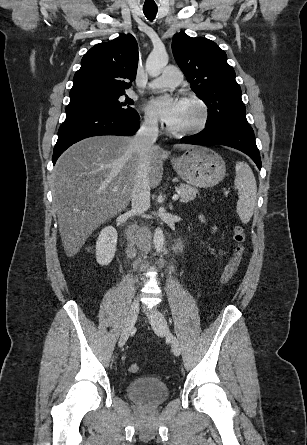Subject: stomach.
Wrapping results in <instances>:
<instances>
[{
    "label": "stomach",
    "mask_w": 307,
    "mask_h": 445,
    "mask_svg": "<svg viewBox=\"0 0 307 445\" xmlns=\"http://www.w3.org/2000/svg\"><path fill=\"white\" fill-rule=\"evenodd\" d=\"M172 166L187 184L200 188L219 184L226 172L220 154L206 146H191L180 158L172 160Z\"/></svg>",
    "instance_id": "0dacf381"
}]
</instances>
